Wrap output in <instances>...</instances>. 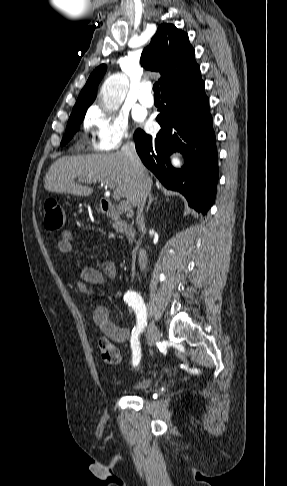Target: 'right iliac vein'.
Masks as SVG:
<instances>
[{"label":"right iliac vein","instance_id":"1","mask_svg":"<svg viewBox=\"0 0 287 486\" xmlns=\"http://www.w3.org/2000/svg\"><path fill=\"white\" fill-rule=\"evenodd\" d=\"M160 338L159 331L154 323H151L148 328V342L150 345H153L157 342Z\"/></svg>","mask_w":287,"mask_h":486}]
</instances>
